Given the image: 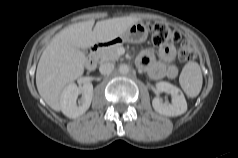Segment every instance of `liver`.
<instances>
[{"mask_svg": "<svg viewBox=\"0 0 238 158\" xmlns=\"http://www.w3.org/2000/svg\"><path fill=\"white\" fill-rule=\"evenodd\" d=\"M138 21L136 17L112 18L98 21L93 28L95 21L89 20L72 24L56 34L44 49L36 71L37 89L44 101L60 111L63 90L84 72L87 58L82 49L109 42Z\"/></svg>", "mask_w": 238, "mask_h": 158, "instance_id": "liver-1", "label": "liver"}]
</instances>
